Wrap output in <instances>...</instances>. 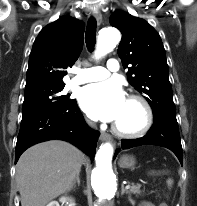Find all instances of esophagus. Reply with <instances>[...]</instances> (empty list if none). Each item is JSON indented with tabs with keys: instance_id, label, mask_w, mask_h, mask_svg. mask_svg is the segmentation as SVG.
Returning a JSON list of instances; mask_svg holds the SVG:
<instances>
[{
	"instance_id": "esophagus-1",
	"label": "esophagus",
	"mask_w": 197,
	"mask_h": 206,
	"mask_svg": "<svg viewBox=\"0 0 197 206\" xmlns=\"http://www.w3.org/2000/svg\"><path fill=\"white\" fill-rule=\"evenodd\" d=\"M93 15H94V18L96 19L97 24L100 25L102 23L101 13L99 11H96V12H94ZM100 140L102 142H111V143H113L112 137L109 134L105 133V132H101Z\"/></svg>"
}]
</instances>
